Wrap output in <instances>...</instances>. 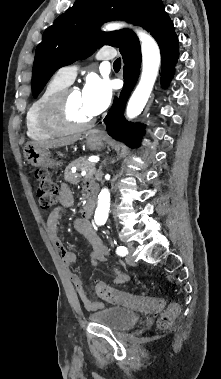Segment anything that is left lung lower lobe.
I'll return each mask as SVG.
<instances>
[{"mask_svg":"<svg viewBox=\"0 0 221 379\" xmlns=\"http://www.w3.org/2000/svg\"><path fill=\"white\" fill-rule=\"evenodd\" d=\"M150 32L157 41L162 60L161 80L164 85L172 78L177 62L178 38L174 32L173 22L165 12L162 2L154 6L142 26ZM119 51L124 61V88L119 99L115 98L111 110L104 119L108 134L125 142L129 147H137L144 129L138 124H132L123 117L125 104L138 79L141 66V50L137 36L131 34L119 45Z\"/></svg>","mask_w":221,"mask_h":379,"instance_id":"obj_1","label":"left lung lower lobe"}]
</instances>
